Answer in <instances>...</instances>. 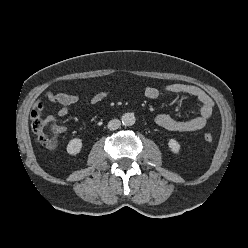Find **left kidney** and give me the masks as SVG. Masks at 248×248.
<instances>
[{
	"label": "left kidney",
	"mask_w": 248,
	"mask_h": 248,
	"mask_svg": "<svg viewBox=\"0 0 248 248\" xmlns=\"http://www.w3.org/2000/svg\"><path fill=\"white\" fill-rule=\"evenodd\" d=\"M168 146L173 153H179L180 144L175 139H169Z\"/></svg>",
	"instance_id": "left-kidney-1"
}]
</instances>
